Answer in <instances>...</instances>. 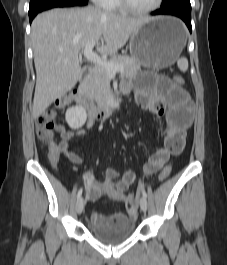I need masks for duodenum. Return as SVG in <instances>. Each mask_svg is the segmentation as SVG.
I'll return each mask as SVG.
<instances>
[{"label": "duodenum", "instance_id": "410a0bca", "mask_svg": "<svg viewBox=\"0 0 227 265\" xmlns=\"http://www.w3.org/2000/svg\"><path fill=\"white\" fill-rule=\"evenodd\" d=\"M89 75L90 69H87L80 80L79 86L75 90L76 100L87 111L90 119H106L116 111L120 98L117 97L107 103L96 105L88 91Z\"/></svg>", "mask_w": 227, "mask_h": 265}]
</instances>
